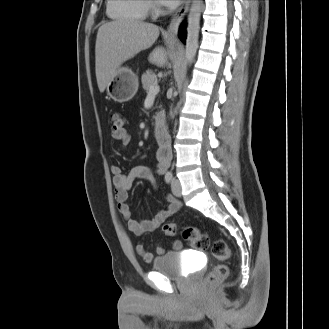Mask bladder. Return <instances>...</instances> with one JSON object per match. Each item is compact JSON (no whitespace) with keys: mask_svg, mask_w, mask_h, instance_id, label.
Returning a JSON list of instances; mask_svg holds the SVG:
<instances>
[{"mask_svg":"<svg viewBox=\"0 0 329 329\" xmlns=\"http://www.w3.org/2000/svg\"><path fill=\"white\" fill-rule=\"evenodd\" d=\"M152 270L169 279H182L187 275L183 271V261L179 251H168L156 256L152 261Z\"/></svg>","mask_w":329,"mask_h":329,"instance_id":"1","label":"bladder"}]
</instances>
